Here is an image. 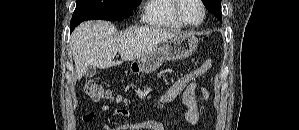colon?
<instances>
[{
	"mask_svg": "<svg viewBox=\"0 0 299 130\" xmlns=\"http://www.w3.org/2000/svg\"><path fill=\"white\" fill-rule=\"evenodd\" d=\"M212 61L208 60L200 67L188 71L176 79L160 96L161 104H168L178 98L187 88L198 84L199 79L210 70ZM83 90L85 94L93 101L111 100L114 95L111 90L105 88L102 84L94 79L85 82ZM121 101L120 98H117Z\"/></svg>",
	"mask_w": 299,
	"mask_h": 130,
	"instance_id": "colon-1",
	"label": "colon"
}]
</instances>
